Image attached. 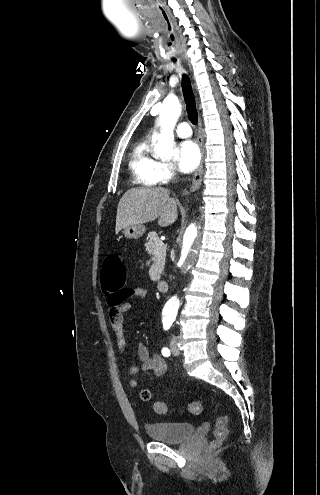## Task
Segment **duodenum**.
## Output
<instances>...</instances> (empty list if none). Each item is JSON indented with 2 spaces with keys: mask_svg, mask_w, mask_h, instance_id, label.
Wrapping results in <instances>:
<instances>
[{
  "mask_svg": "<svg viewBox=\"0 0 320 495\" xmlns=\"http://www.w3.org/2000/svg\"><path fill=\"white\" fill-rule=\"evenodd\" d=\"M157 288L160 292H166L169 288V284L167 281L165 280H161L158 282L157 284Z\"/></svg>",
  "mask_w": 320,
  "mask_h": 495,
  "instance_id": "1",
  "label": "duodenum"
}]
</instances>
